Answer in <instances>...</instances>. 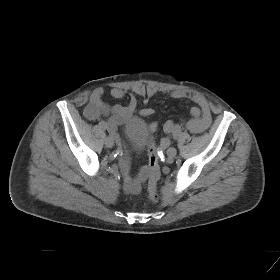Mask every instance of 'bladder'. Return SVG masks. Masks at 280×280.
<instances>
[{"instance_id": "obj_1", "label": "bladder", "mask_w": 280, "mask_h": 280, "mask_svg": "<svg viewBox=\"0 0 280 280\" xmlns=\"http://www.w3.org/2000/svg\"><path fill=\"white\" fill-rule=\"evenodd\" d=\"M149 133L146 122L140 118H131L124 124L125 137L135 152H141L145 148Z\"/></svg>"}]
</instances>
